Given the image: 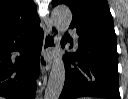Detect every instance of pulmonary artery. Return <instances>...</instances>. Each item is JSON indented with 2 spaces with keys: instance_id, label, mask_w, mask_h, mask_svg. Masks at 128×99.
Here are the masks:
<instances>
[{
  "instance_id": "pulmonary-artery-1",
  "label": "pulmonary artery",
  "mask_w": 128,
  "mask_h": 99,
  "mask_svg": "<svg viewBox=\"0 0 128 99\" xmlns=\"http://www.w3.org/2000/svg\"><path fill=\"white\" fill-rule=\"evenodd\" d=\"M70 31H71L72 36L74 38V44H75V46H77L78 45V36H77V33H76L75 30H70Z\"/></svg>"
}]
</instances>
